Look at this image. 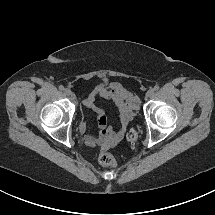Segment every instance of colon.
Segmentation results:
<instances>
[{
  "instance_id": "colon-1",
  "label": "colon",
  "mask_w": 215,
  "mask_h": 215,
  "mask_svg": "<svg viewBox=\"0 0 215 215\" xmlns=\"http://www.w3.org/2000/svg\"><path fill=\"white\" fill-rule=\"evenodd\" d=\"M138 138V132L136 129H131L128 134H127V141H128V146L132 147L135 142L137 141ZM98 160L101 165L105 167H116L117 162L114 159V157L107 153V152H101L98 156Z\"/></svg>"
}]
</instances>
